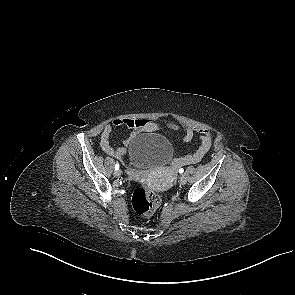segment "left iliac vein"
<instances>
[{
  "mask_svg": "<svg viewBox=\"0 0 295 295\" xmlns=\"http://www.w3.org/2000/svg\"><path fill=\"white\" fill-rule=\"evenodd\" d=\"M186 182H187V177L185 175H182L180 177V184L184 185L186 184Z\"/></svg>",
  "mask_w": 295,
  "mask_h": 295,
  "instance_id": "1",
  "label": "left iliac vein"
}]
</instances>
